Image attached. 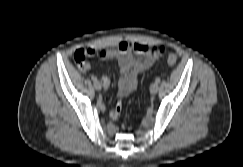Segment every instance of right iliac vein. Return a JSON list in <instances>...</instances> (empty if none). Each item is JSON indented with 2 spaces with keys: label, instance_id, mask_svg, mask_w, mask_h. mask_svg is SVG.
Returning <instances> with one entry per match:
<instances>
[{
  "label": "right iliac vein",
  "instance_id": "right-iliac-vein-1",
  "mask_svg": "<svg viewBox=\"0 0 243 167\" xmlns=\"http://www.w3.org/2000/svg\"><path fill=\"white\" fill-rule=\"evenodd\" d=\"M94 88L97 90V91H100L101 90V84L97 81V82H94Z\"/></svg>",
  "mask_w": 243,
  "mask_h": 167
}]
</instances>
